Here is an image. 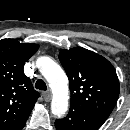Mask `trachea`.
<instances>
[{
    "label": "trachea",
    "instance_id": "trachea-1",
    "mask_svg": "<svg viewBox=\"0 0 130 130\" xmlns=\"http://www.w3.org/2000/svg\"><path fill=\"white\" fill-rule=\"evenodd\" d=\"M35 88L38 89V90H43V91L47 90L46 83L42 79H38L36 81Z\"/></svg>",
    "mask_w": 130,
    "mask_h": 130
}]
</instances>
